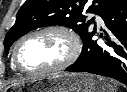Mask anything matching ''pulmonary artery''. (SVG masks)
<instances>
[{
	"instance_id": "e3ab8cb5",
	"label": "pulmonary artery",
	"mask_w": 127,
	"mask_h": 92,
	"mask_svg": "<svg viewBox=\"0 0 127 92\" xmlns=\"http://www.w3.org/2000/svg\"><path fill=\"white\" fill-rule=\"evenodd\" d=\"M94 19H95V22L98 24V25H102L103 24V19L101 18V16L95 14L93 15Z\"/></svg>"
}]
</instances>
